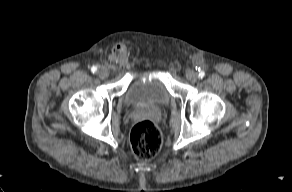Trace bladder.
I'll return each instance as SVG.
<instances>
[{
    "instance_id": "1",
    "label": "bladder",
    "mask_w": 292,
    "mask_h": 192,
    "mask_svg": "<svg viewBox=\"0 0 292 192\" xmlns=\"http://www.w3.org/2000/svg\"><path fill=\"white\" fill-rule=\"evenodd\" d=\"M172 96L161 75L134 79L127 87L123 101L127 107L164 108Z\"/></svg>"
}]
</instances>
